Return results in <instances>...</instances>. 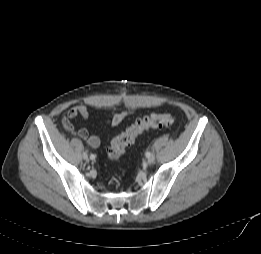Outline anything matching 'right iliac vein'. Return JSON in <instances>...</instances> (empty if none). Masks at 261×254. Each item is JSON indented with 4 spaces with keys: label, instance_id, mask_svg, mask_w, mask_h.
<instances>
[{
    "label": "right iliac vein",
    "instance_id": "63e3f726",
    "mask_svg": "<svg viewBox=\"0 0 261 254\" xmlns=\"http://www.w3.org/2000/svg\"><path fill=\"white\" fill-rule=\"evenodd\" d=\"M83 158H84L85 160H88V156H87L86 153L83 154Z\"/></svg>",
    "mask_w": 261,
    "mask_h": 254
}]
</instances>
